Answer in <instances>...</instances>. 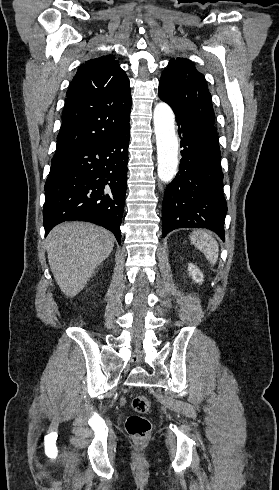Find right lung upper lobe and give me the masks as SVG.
<instances>
[{"label":"right lung upper lobe","mask_w":279,"mask_h":490,"mask_svg":"<svg viewBox=\"0 0 279 490\" xmlns=\"http://www.w3.org/2000/svg\"><path fill=\"white\" fill-rule=\"evenodd\" d=\"M130 112L129 80L114 56L88 60L79 66L69 85L52 161L130 126Z\"/></svg>","instance_id":"1"}]
</instances>
